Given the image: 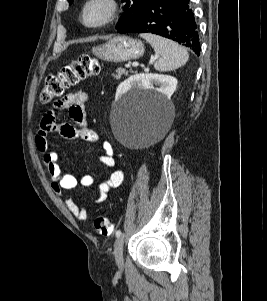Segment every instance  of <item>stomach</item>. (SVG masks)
<instances>
[{"label":"stomach","mask_w":267,"mask_h":301,"mask_svg":"<svg viewBox=\"0 0 267 301\" xmlns=\"http://www.w3.org/2000/svg\"><path fill=\"white\" fill-rule=\"evenodd\" d=\"M144 45L140 40L128 36H116L106 43L92 48V53L107 62H126L143 56Z\"/></svg>","instance_id":"stomach-1"}]
</instances>
